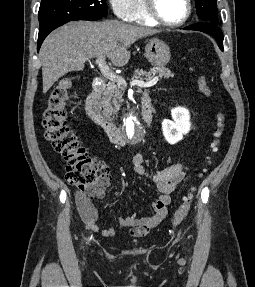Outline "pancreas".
I'll return each mask as SVG.
<instances>
[{"mask_svg":"<svg viewBox=\"0 0 255 287\" xmlns=\"http://www.w3.org/2000/svg\"><path fill=\"white\" fill-rule=\"evenodd\" d=\"M159 74L160 78H174V74L170 72L169 68H150L149 72H145V70H135V74H133V78H140V80H152L153 76ZM132 78V80H133ZM126 90V86H117L116 82H110L107 84L106 90L103 92V96L101 98V110H103L104 118H108L110 122H112L113 118L111 116H115L116 112H119L120 106L123 102L122 96Z\"/></svg>","mask_w":255,"mask_h":287,"instance_id":"pancreas-1","label":"pancreas"}]
</instances>
